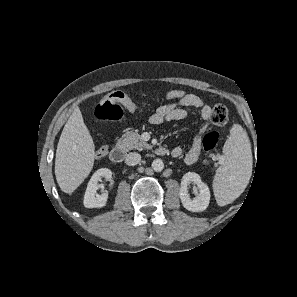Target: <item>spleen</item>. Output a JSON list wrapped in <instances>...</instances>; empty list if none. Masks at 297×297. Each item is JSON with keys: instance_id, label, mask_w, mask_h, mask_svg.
I'll use <instances>...</instances> for the list:
<instances>
[{"instance_id": "3e777b00", "label": "spleen", "mask_w": 297, "mask_h": 297, "mask_svg": "<svg viewBox=\"0 0 297 297\" xmlns=\"http://www.w3.org/2000/svg\"><path fill=\"white\" fill-rule=\"evenodd\" d=\"M224 161L214 179L217 198H237L245 189L252 172V152L247 133L235 124L223 147Z\"/></svg>"}]
</instances>
